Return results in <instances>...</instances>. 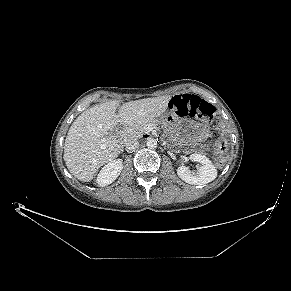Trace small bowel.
<instances>
[{"label":"small bowel","instance_id":"obj_1","mask_svg":"<svg viewBox=\"0 0 291 291\" xmlns=\"http://www.w3.org/2000/svg\"><path fill=\"white\" fill-rule=\"evenodd\" d=\"M184 96H196V95H193V94H183Z\"/></svg>","mask_w":291,"mask_h":291}]
</instances>
